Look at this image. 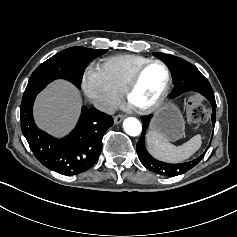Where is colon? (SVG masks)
Segmentation results:
<instances>
[{"label": "colon", "mask_w": 237, "mask_h": 237, "mask_svg": "<svg viewBox=\"0 0 237 237\" xmlns=\"http://www.w3.org/2000/svg\"><path fill=\"white\" fill-rule=\"evenodd\" d=\"M187 118L192 123H202L209 119L211 112L203 104V96L200 94L192 96L186 104Z\"/></svg>", "instance_id": "obj_1"}]
</instances>
